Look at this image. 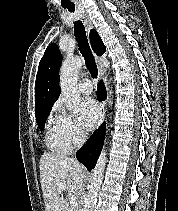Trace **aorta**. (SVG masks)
<instances>
[{"instance_id":"762f6f07","label":"aorta","mask_w":178,"mask_h":211,"mask_svg":"<svg viewBox=\"0 0 178 211\" xmlns=\"http://www.w3.org/2000/svg\"><path fill=\"white\" fill-rule=\"evenodd\" d=\"M83 64V57L67 58L63 62L60 71V87L64 102L66 107L73 113H77L79 111L80 92L77 88V77ZM111 94L112 91L108 92V104H112V100L110 98ZM106 155L107 153L104 147L93 170L91 185L84 201L82 211H93L98 191L100 190L103 180V173L107 162Z\"/></svg>"}]
</instances>
